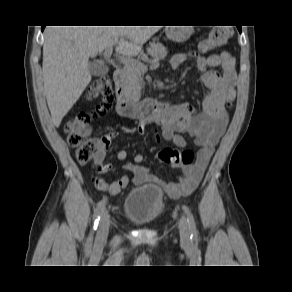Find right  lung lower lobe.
<instances>
[{"mask_svg": "<svg viewBox=\"0 0 292 292\" xmlns=\"http://www.w3.org/2000/svg\"><path fill=\"white\" fill-rule=\"evenodd\" d=\"M44 28H45V26H42V31H43Z\"/></svg>", "mask_w": 292, "mask_h": 292, "instance_id": "1", "label": "right lung lower lobe"}]
</instances>
